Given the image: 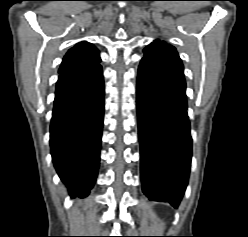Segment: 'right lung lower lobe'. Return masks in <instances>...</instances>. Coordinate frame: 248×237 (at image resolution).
Segmentation results:
<instances>
[{
  "label": "right lung lower lobe",
  "instance_id": "right-lung-lower-lobe-1",
  "mask_svg": "<svg viewBox=\"0 0 248 237\" xmlns=\"http://www.w3.org/2000/svg\"><path fill=\"white\" fill-rule=\"evenodd\" d=\"M104 114L102 67L61 74L50 127L54 166L72 198L86 197L99 167Z\"/></svg>",
  "mask_w": 248,
  "mask_h": 237
}]
</instances>
